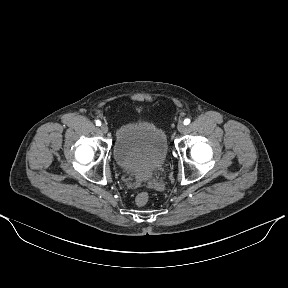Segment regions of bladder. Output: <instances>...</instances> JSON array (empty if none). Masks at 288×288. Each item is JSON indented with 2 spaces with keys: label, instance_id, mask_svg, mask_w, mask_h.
<instances>
[{
  "label": "bladder",
  "instance_id": "1",
  "mask_svg": "<svg viewBox=\"0 0 288 288\" xmlns=\"http://www.w3.org/2000/svg\"><path fill=\"white\" fill-rule=\"evenodd\" d=\"M113 154L123 170L139 180H147L166 161V134L160 126L148 120L123 123L116 131Z\"/></svg>",
  "mask_w": 288,
  "mask_h": 288
}]
</instances>
